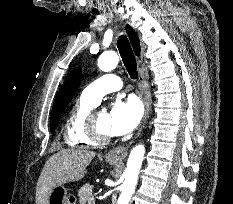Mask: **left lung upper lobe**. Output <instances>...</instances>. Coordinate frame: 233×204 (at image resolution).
I'll return each mask as SVG.
<instances>
[{
	"instance_id": "5c2ea615",
	"label": "left lung upper lobe",
	"mask_w": 233,
	"mask_h": 204,
	"mask_svg": "<svg viewBox=\"0 0 233 204\" xmlns=\"http://www.w3.org/2000/svg\"><path fill=\"white\" fill-rule=\"evenodd\" d=\"M81 78V68H75L64 81L58 96L55 99L50 115V131L54 132L60 117L75 94Z\"/></svg>"
}]
</instances>
